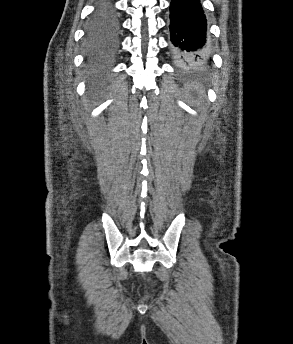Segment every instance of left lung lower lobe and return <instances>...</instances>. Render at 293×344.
I'll return each instance as SVG.
<instances>
[{
  "mask_svg": "<svg viewBox=\"0 0 293 344\" xmlns=\"http://www.w3.org/2000/svg\"><path fill=\"white\" fill-rule=\"evenodd\" d=\"M169 28L177 60L193 62L209 56L206 18L199 0H172Z\"/></svg>",
  "mask_w": 293,
  "mask_h": 344,
  "instance_id": "1",
  "label": "left lung lower lobe"
}]
</instances>
